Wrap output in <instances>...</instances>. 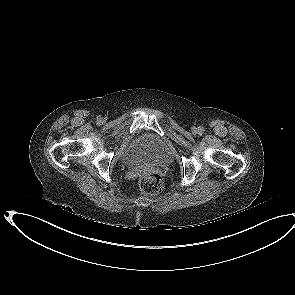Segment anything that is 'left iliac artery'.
<instances>
[{
  "instance_id": "obj_1",
  "label": "left iliac artery",
  "mask_w": 295,
  "mask_h": 295,
  "mask_svg": "<svg viewBox=\"0 0 295 295\" xmlns=\"http://www.w3.org/2000/svg\"><path fill=\"white\" fill-rule=\"evenodd\" d=\"M198 131H199V134H202L204 132V128L202 126L198 127Z\"/></svg>"
}]
</instances>
